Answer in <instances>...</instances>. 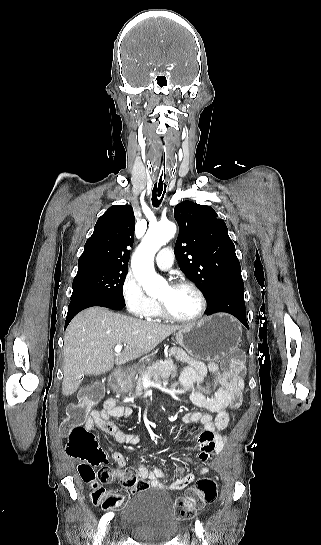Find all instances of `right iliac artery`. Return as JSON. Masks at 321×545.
<instances>
[{
  "label": "right iliac artery",
  "mask_w": 321,
  "mask_h": 545,
  "mask_svg": "<svg viewBox=\"0 0 321 545\" xmlns=\"http://www.w3.org/2000/svg\"><path fill=\"white\" fill-rule=\"evenodd\" d=\"M114 517V514L112 512L106 513L100 520L99 526H98V532L95 537V542L93 545H101L102 536L105 532V526L107 523L110 522V520Z\"/></svg>",
  "instance_id": "82829eb1"
}]
</instances>
